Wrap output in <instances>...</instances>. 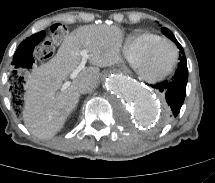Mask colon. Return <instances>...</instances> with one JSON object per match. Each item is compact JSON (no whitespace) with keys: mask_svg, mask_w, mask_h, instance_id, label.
Returning <instances> with one entry per match:
<instances>
[{"mask_svg":"<svg viewBox=\"0 0 215 183\" xmlns=\"http://www.w3.org/2000/svg\"><path fill=\"white\" fill-rule=\"evenodd\" d=\"M68 29L63 23H55L43 29L32 37H26L15 48L16 57L9 62L10 90L12 93L11 113L17 121L25 118L23 108V93L25 78L22 73L32 68L36 61L45 62L49 60L55 51L54 43L67 37Z\"/></svg>","mask_w":215,"mask_h":183,"instance_id":"colon-1","label":"colon"}]
</instances>
